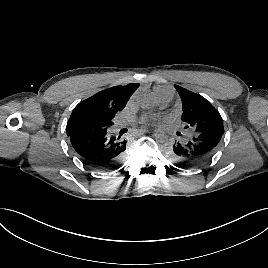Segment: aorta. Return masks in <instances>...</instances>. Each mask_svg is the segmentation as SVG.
Wrapping results in <instances>:
<instances>
[{
	"label": "aorta",
	"instance_id": "obj_1",
	"mask_svg": "<svg viewBox=\"0 0 268 268\" xmlns=\"http://www.w3.org/2000/svg\"><path fill=\"white\" fill-rule=\"evenodd\" d=\"M137 105L141 108H149L152 102V97L147 94H141L137 98ZM167 136L162 131H155L153 133V140L159 144H162L166 141Z\"/></svg>",
	"mask_w": 268,
	"mask_h": 268
}]
</instances>
